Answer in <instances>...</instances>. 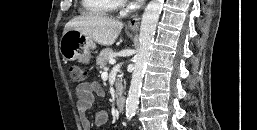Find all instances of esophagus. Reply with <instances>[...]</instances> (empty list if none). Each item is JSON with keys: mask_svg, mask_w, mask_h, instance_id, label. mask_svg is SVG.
Returning <instances> with one entry per match:
<instances>
[{"mask_svg": "<svg viewBox=\"0 0 257 130\" xmlns=\"http://www.w3.org/2000/svg\"><path fill=\"white\" fill-rule=\"evenodd\" d=\"M140 16L138 14L133 15L128 22V27L131 29H138L140 24Z\"/></svg>", "mask_w": 257, "mask_h": 130, "instance_id": "obj_1", "label": "esophagus"}]
</instances>
